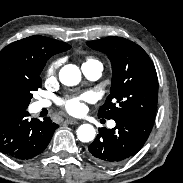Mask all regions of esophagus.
Listing matches in <instances>:
<instances>
[{"mask_svg":"<svg viewBox=\"0 0 183 183\" xmlns=\"http://www.w3.org/2000/svg\"><path fill=\"white\" fill-rule=\"evenodd\" d=\"M65 123L70 124V125H75L78 123V121L76 119H73V118H68L65 120Z\"/></svg>","mask_w":183,"mask_h":183,"instance_id":"esophagus-1","label":"esophagus"}]
</instances>
